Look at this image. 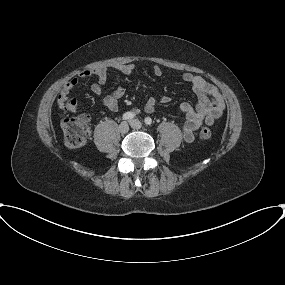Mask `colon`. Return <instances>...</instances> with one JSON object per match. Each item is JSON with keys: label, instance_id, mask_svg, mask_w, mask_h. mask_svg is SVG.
<instances>
[{"label": "colon", "instance_id": "1", "mask_svg": "<svg viewBox=\"0 0 285 285\" xmlns=\"http://www.w3.org/2000/svg\"><path fill=\"white\" fill-rule=\"evenodd\" d=\"M61 128L64 134L65 145L70 149H80L84 147L89 139L90 127L86 115L76 117H65L61 122ZM211 130L203 127L199 132V137L203 140L211 138Z\"/></svg>", "mask_w": 285, "mask_h": 285}]
</instances>
